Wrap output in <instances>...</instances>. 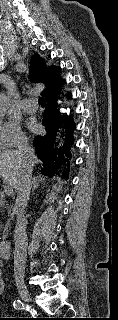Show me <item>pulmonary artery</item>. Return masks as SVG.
Instances as JSON below:
<instances>
[{
	"mask_svg": "<svg viewBox=\"0 0 118 320\" xmlns=\"http://www.w3.org/2000/svg\"><path fill=\"white\" fill-rule=\"evenodd\" d=\"M21 108L27 113H33L38 109V105L34 100L26 99L21 103Z\"/></svg>",
	"mask_w": 118,
	"mask_h": 320,
	"instance_id": "pulmonary-artery-1",
	"label": "pulmonary artery"
}]
</instances>
